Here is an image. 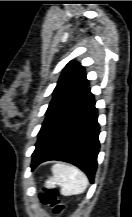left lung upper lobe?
I'll use <instances>...</instances> for the list:
<instances>
[{
    "label": "left lung upper lobe",
    "mask_w": 132,
    "mask_h": 217,
    "mask_svg": "<svg viewBox=\"0 0 132 217\" xmlns=\"http://www.w3.org/2000/svg\"><path fill=\"white\" fill-rule=\"evenodd\" d=\"M88 88L89 82L86 79L84 67L80 63L70 61L64 68L54 89L53 98L38 137L40 138L49 124Z\"/></svg>",
    "instance_id": "1"
}]
</instances>
